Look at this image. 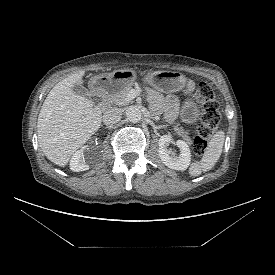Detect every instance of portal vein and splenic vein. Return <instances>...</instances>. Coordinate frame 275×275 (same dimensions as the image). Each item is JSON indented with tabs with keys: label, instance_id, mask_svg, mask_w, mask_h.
<instances>
[{
	"label": "portal vein and splenic vein",
	"instance_id": "18ae733b",
	"mask_svg": "<svg viewBox=\"0 0 275 275\" xmlns=\"http://www.w3.org/2000/svg\"><path fill=\"white\" fill-rule=\"evenodd\" d=\"M138 93L135 91V90H131L129 95H128V98L131 100L133 99Z\"/></svg>",
	"mask_w": 275,
	"mask_h": 275
}]
</instances>
